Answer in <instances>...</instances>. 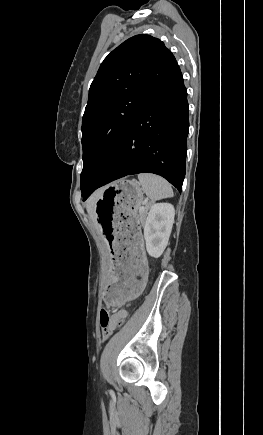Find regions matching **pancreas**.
I'll list each match as a JSON object with an SVG mask.
<instances>
[{"mask_svg":"<svg viewBox=\"0 0 263 435\" xmlns=\"http://www.w3.org/2000/svg\"><path fill=\"white\" fill-rule=\"evenodd\" d=\"M150 203L149 204H147L146 206H145V209L143 210V211H140L139 212V220H140V222L142 223V224H144V222H145V219H146V216H147V212H148V210H149V208H150Z\"/></svg>","mask_w":263,"mask_h":435,"instance_id":"1","label":"pancreas"}]
</instances>
